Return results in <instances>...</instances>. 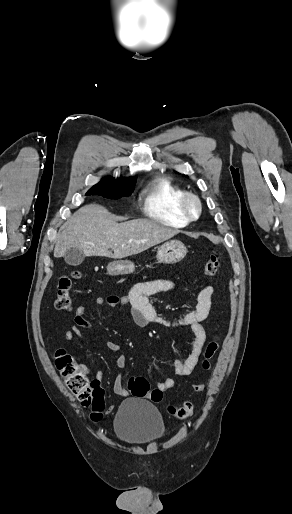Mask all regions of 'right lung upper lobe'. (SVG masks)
I'll return each instance as SVG.
<instances>
[{
  "instance_id": "1",
  "label": "right lung upper lobe",
  "mask_w": 292,
  "mask_h": 514,
  "mask_svg": "<svg viewBox=\"0 0 292 514\" xmlns=\"http://www.w3.org/2000/svg\"><path fill=\"white\" fill-rule=\"evenodd\" d=\"M136 178L137 177L135 176V177L127 178V179L126 178H120L118 180H115L112 177H106V178H104L102 180H114V181H134L135 180L136 181Z\"/></svg>"
}]
</instances>
